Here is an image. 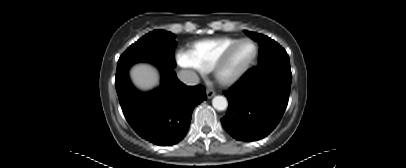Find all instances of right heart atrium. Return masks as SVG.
Segmentation results:
<instances>
[{
  "instance_id": "d8ad5b80",
  "label": "right heart atrium",
  "mask_w": 406,
  "mask_h": 168,
  "mask_svg": "<svg viewBox=\"0 0 406 168\" xmlns=\"http://www.w3.org/2000/svg\"><path fill=\"white\" fill-rule=\"evenodd\" d=\"M176 62L183 69L203 72L192 64L185 52L177 53Z\"/></svg>"
}]
</instances>
